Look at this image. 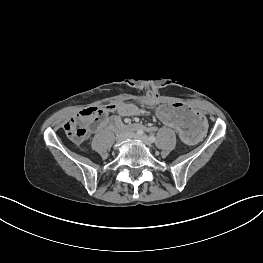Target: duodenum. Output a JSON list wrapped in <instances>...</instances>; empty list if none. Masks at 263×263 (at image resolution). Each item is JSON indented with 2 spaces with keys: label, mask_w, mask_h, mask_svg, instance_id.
I'll return each mask as SVG.
<instances>
[{
  "label": "duodenum",
  "mask_w": 263,
  "mask_h": 263,
  "mask_svg": "<svg viewBox=\"0 0 263 263\" xmlns=\"http://www.w3.org/2000/svg\"><path fill=\"white\" fill-rule=\"evenodd\" d=\"M107 127L109 129H120L123 132L146 129L143 125L140 124H122L121 121L117 118L109 119L107 122Z\"/></svg>",
  "instance_id": "1"
}]
</instances>
